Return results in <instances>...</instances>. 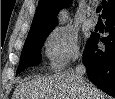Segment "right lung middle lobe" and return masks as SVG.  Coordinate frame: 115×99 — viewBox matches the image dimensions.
I'll list each match as a JSON object with an SVG mask.
<instances>
[{
  "label": "right lung middle lobe",
  "mask_w": 115,
  "mask_h": 99,
  "mask_svg": "<svg viewBox=\"0 0 115 99\" xmlns=\"http://www.w3.org/2000/svg\"><path fill=\"white\" fill-rule=\"evenodd\" d=\"M48 35L49 33H45L27 37L16 74L22 72L32 65L39 63L41 58L40 50Z\"/></svg>",
  "instance_id": "right-lung-middle-lobe-1"
}]
</instances>
